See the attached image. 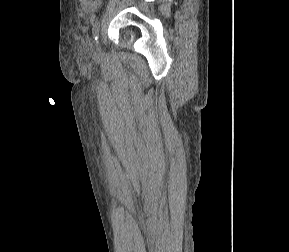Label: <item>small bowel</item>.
I'll list each match as a JSON object with an SVG mask.
<instances>
[{
  "mask_svg": "<svg viewBox=\"0 0 289 252\" xmlns=\"http://www.w3.org/2000/svg\"><path fill=\"white\" fill-rule=\"evenodd\" d=\"M82 10L86 13H93L101 6V0H79Z\"/></svg>",
  "mask_w": 289,
  "mask_h": 252,
  "instance_id": "c3829d8e",
  "label": "small bowel"
}]
</instances>
